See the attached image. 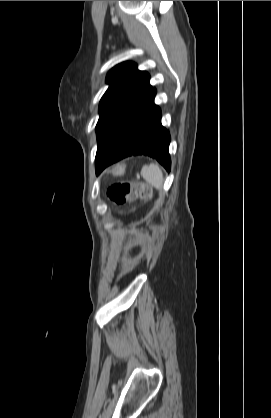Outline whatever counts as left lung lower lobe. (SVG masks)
<instances>
[{
	"mask_svg": "<svg viewBox=\"0 0 271 418\" xmlns=\"http://www.w3.org/2000/svg\"><path fill=\"white\" fill-rule=\"evenodd\" d=\"M155 94L156 89L152 88L99 147L95 158L97 175L114 162L142 154L155 158L170 171V134L161 125V111L154 104Z\"/></svg>",
	"mask_w": 271,
	"mask_h": 418,
	"instance_id": "0a47b994",
	"label": "left lung lower lobe"
}]
</instances>
